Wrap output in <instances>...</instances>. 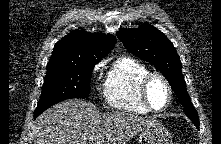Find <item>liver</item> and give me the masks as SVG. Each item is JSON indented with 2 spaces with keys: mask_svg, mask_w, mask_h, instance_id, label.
Masks as SVG:
<instances>
[{
  "mask_svg": "<svg viewBox=\"0 0 221 144\" xmlns=\"http://www.w3.org/2000/svg\"><path fill=\"white\" fill-rule=\"evenodd\" d=\"M155 123L154 118L118 111L103 113L91 102L67 100L36 119L34 144H127Z\"/></svg>",
  "mask_w": 221,
  "mask_h": 144,
  "instance_id": "6515ba94",
  "label": "liver"
}]
</instances>
